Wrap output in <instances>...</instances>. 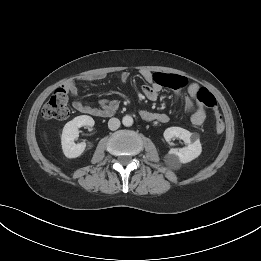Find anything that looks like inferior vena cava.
I'll list each match as a JSON object with an SVG mask.
<instances>
[{
    "instance_id": "obj_1",
    "label": "inferior vena cava",
    "mask_w": 261,
    "mask_h": 261,
    "mask_svg": "<svg viewBox=\"0 0 261 261\" xmlns=\"http://www.w3.org/2000/svg\"><path fill=\"white\" fill-rule=\"evenodd\" d=\"M120 127V121L119 119L117 118H111L109 121H108V128L110 130H116Z\"/></svg>"
}]
</instances>
